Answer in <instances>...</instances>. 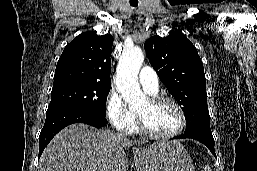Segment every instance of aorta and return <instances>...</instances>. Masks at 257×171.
I'll return each mask as SVG.
<instances>
[{"label":"aorta","instance_id":"1","mask_svg":"<svg viewBox=\"0 0 257 171\" xmlns=\"http://www.w3.org/2000/svg\"><path fill=\"white\" fill-rule=\"evenodd\" d=\"M143 61V51L139 47H133L123 51L117 67V90L130 109L137 108L146 101L138 82V73Z\"/></svg>","mask_w":257,"mask_h":171}]
</instances>
